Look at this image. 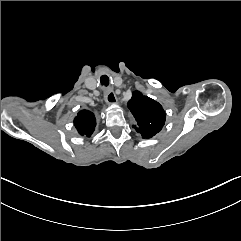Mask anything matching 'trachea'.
Wrapping results in <instances>:
<instances>
[{
  "mask_svg": "<svg viewBox=\"0 0 241 241\" xmlns=\"http://www.w3.org/2000/svg\"><path fill=\"white\" fill-rule=\"evenodd\" d=\"M101 83L104 84L105 86H108L109 78L107 77V75L101 76Z\"/></svg>",
  "mask_w": 241,
  "mask_h": 241,
  "instance_id": "3493384b",
  "label": "trachea"
}]
</instances>
